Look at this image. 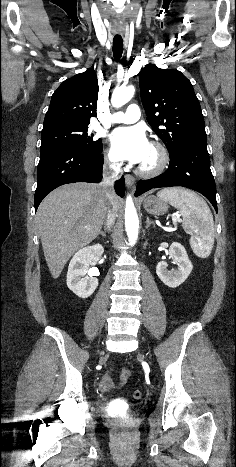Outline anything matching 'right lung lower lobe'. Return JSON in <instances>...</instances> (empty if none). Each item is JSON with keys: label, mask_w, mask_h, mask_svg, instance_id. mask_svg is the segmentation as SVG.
I'll list each match as a JSON object with an SVG mask.
<instances>
[{"label": "right lung lower lobe", "mask_w": 236, "mask_h": 467, "mask_svg": "<svg viewBox=\"0 0 236 467\" xmlns=\"http://www.w3.org/2000/svg\"><path fill=\"white\" fill-rule=\"evenodd\" d=\"M103 155L75 147H55L40 152L35 191V209L42 199L55 188L74 182L97 183L102 179ZM116 193L123 197L125 181L115 183Z\"/></svg>", "instance_id": "obj_1"}]
</instances>
